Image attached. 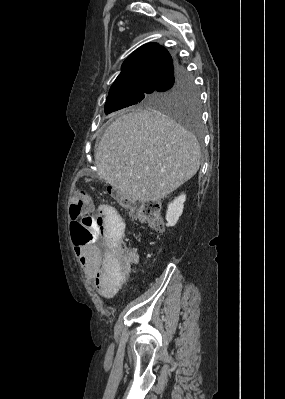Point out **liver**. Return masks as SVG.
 Listing matches in <instances>:
<instances>
[{"label":"liver","instance_id":"6515ba94","mask_svg":"<svg viewBox=\"0 0 285 399\" xmlns=\"http://www.w3.org/2000/svg\"><path fill=\"white\" fill-rule=\"evenodd\" d=\"M193 134L156 111L115 119L95 151L97 174L131 201H158L192 178L200 166Z\"/></svg>","mask_w":285,"mask_h":399}]
</instances>
